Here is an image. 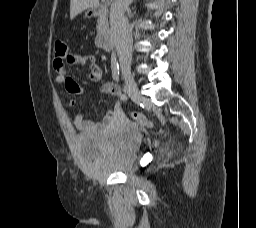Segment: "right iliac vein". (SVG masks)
Masks as SVG:
<instances>
[{
  "label": "right iliac vein",
  "instance_id": "63e3f726",
  "mask_svg": "<svg viewBox=\"0 0 256 228\" xmlns=\"http://www.w3.org/2000/svg\"><path fill=\"white\" fill-rule=\"evenodd\" d=\"M124 81H125V90L128 93V95L135 102H140L143 96L141 95L134 78L131 75H127L125 76Z\"/></svg>",
  "mask_w": 256,
  "mask_h": 228
}]
</instances>
